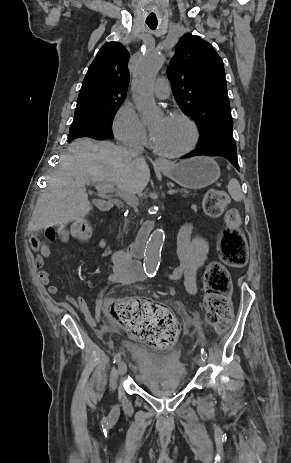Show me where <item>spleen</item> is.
Segmentation results:
<instances>
[{
	"label": "spleen",
	"instance_id": "obj_1",
	"mask_svg": "<svg viewBox=\"0 0 291 463\" xmlns=\"http://www.w3.org/2000/svg\"><path fill=\"white\" fill-rule=\"evenodd\" d=\"M228 192L233 198V200L239 202L243 198V193L240 187L239 182L237 179L233 178L229 181L228 186H227Z\"/></svg>",
	"mask_w": 291,
	"mask_h": 463
}]
</instances>
